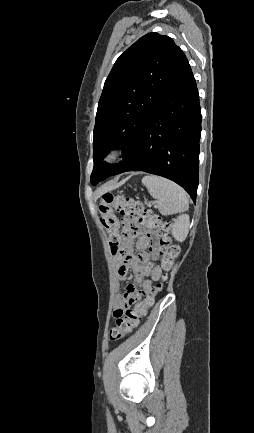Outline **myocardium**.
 <instances>
[{
	"label": "myocardium",
	"instance_id": "obj_1",
	"mask_svg": "<svg viewBox=\"0 0 254 433\" xmlns=\"http://www.w3.org/2000/svg\"><path fill=\"white\" fill-rule=\"evenodd\" d=\"M127 148V143L125 141H117L111 145L104 154L103 162L106 164L116 163Z\"/></svg>",
	"mask_w": 254,
	"mask_h": 433
}]
</instances>
